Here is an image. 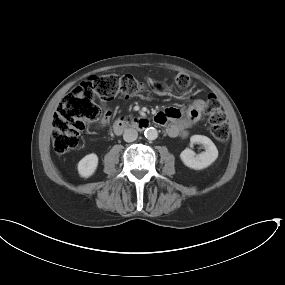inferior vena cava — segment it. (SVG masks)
<instances>
[{"label": "inferior vena cava", "mask_w": 285, "mask_h": 285, "mask_svg": "<svg viewBox=\"0 0 285 285\" xmlns=\"http://www.w3.org/2000/svg\"><path fill=\"white\" fill-rule=\"evenodd\" d=\"M137 137H138V132L133 128H129L124 131L123 139L126 142H133L137 139Z\"/></svg>", "instance_id": "602c4592"}]
</instances>
